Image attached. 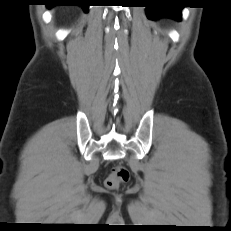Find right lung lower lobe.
Masks as SVG:
<instances>
[{
  "label": "right lung lower lobe",
  "instance_id": "right-lung-lower-lobe-1",
  "mask_svg": "<svg viewBox=\"0 0 231 231\" xmlns=\"http://www.w3.org/2000/svg\"><path fill=\"white\" fill-rule=\"evenodd\" d=\"M63 5L81 6L85 11H87L89 7L87 0H49L47 4L48 7Z\"/></svg>",
  "mask_w": 231,
  "mask_h": 231
}]
</instances>
